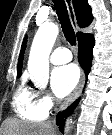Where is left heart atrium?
<instances>
[{"instance_id": "1", "label": "left heart atrium", "mask_w": 112, "mask_h": 135, "mask_svg": "<svg viewBox=\"0 0 112 135\" xmlns=\"http://www.w3.org/2000/svg\"><path fill=\"white\" fill-rule=\"evenodd\" d=\"M78 80L79 71L74 64L56 67L51 72V87L59 98L68 95L75 88Z\"/></svg>"}]
</instances>
